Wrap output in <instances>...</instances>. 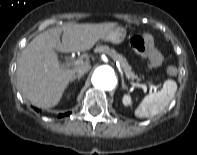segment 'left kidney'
Returning <instances> with one entry per match:
<instances>
[{
    "label": "left kidney",
    "mask_w": 197,
    "mask_h": 155,
    "mask_svg": "<svg viewBox=\"0 0 197 155\" xmlns=\"http://www.w3.org/2000/svg\"><path fill=\"white\" fill-rule=\"evenodd\" d=\"M123 104L125 105V106H130L131 104H132V99H131V97L129 96V95H127V94H125L124 96H123Z\"/></svg>",
    "instance_id": "obj_1"
}]
</instances>
